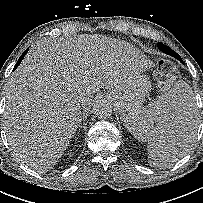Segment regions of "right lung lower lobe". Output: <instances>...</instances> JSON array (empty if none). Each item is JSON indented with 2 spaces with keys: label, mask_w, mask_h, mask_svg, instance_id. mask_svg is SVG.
<instances>
[{
  "label": "right lung lower lobe",
  "mask_w": 203,
  "mask_h": 203,
  "mask_svg": "<svg viewBox=\"0 0 203 203\" xmlns=\"http://www.w3.org/2000/svg\"><path fill=\"white\" fill-rule=\"evenodd\" d=\"M28 50H29V49H27V50L21 55V57L19 58V60H18V62H17V64H16V66L14 67V70L19 66V64L21 63L22 59L24 58V56H25V54L27 53Z\"/></svg>",
  "instance_id": "1"
}]
</instances>
